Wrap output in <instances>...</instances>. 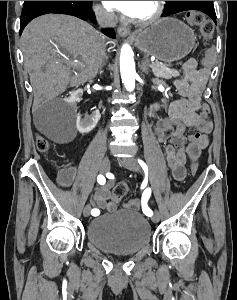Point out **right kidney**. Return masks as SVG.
Segmentation results:
<instances>
[{"label": "right kidney", "instance_id": "1", "mask_svg": "<svg viewBox=\"0 0 237 300\" xmlns=\"http://www.w3.org/2000/svg\"><path fill=\"white\" fill-rule=\"evenodd\" d=\"M83 95V89H77L72 93L71 97H68V103L72 105L73 109H77V103L81 101V97ZM100 119L99 111H92L91 115H84L83 119H81L80 115H77L76 119V127L79 133H90L92 129H95L98 121Z\"/></svg>", "mask_w": 237, "mask_h": 300}]
</instances>
